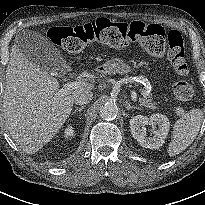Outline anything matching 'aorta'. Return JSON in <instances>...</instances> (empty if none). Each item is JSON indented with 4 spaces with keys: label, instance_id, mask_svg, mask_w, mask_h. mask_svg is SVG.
I'll return each instance as SVG.
<instances>
[{
    "label": "aorta",
    "instance_id": "762f6f07",
    "mask_svg": "<svg viewBox=\"0 0 205 205\" xmlns=\"http://www.w3.org/2000/svg\"><path fill=\"white\" fill-rule=\"evenodd\" d=\"M99 114L103 120H113L117 115V109L113 104H105Z\"/></svg>",
    "mask_w": 205,
    "mask_h": 205
}]
</instances>
